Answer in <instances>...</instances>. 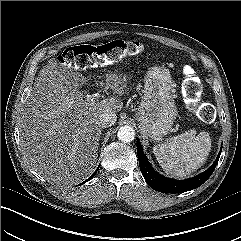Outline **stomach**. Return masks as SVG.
<instances>
[{
	"instance_id": "stomach-1",
	"label": "stomach",
	"mask_w": 241,
	"mask_h": 241,
	"mask_svg": "<svg viewBox=\"0 0 241 241\" xmlns=\"http://www.w3.org/2000/svg\"><path fill=\"white\" fill-rule=\"evenodd\" d=\"M174 82L169 71L155 67L144 79V90L136 116L140 133L158 139L171 131L178 115L173 98Z\"/></svg>"
}]
</instances>
